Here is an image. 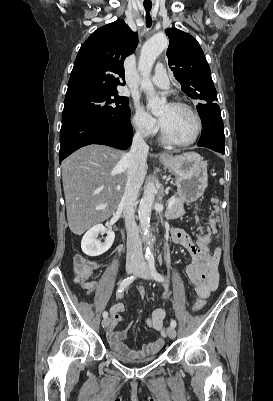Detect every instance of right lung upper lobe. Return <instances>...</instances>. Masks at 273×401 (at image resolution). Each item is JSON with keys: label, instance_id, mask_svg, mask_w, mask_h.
I'll return each mask as SVG.
<instances>
[{"label": "right lung upper lobe", "instance_id": "right-lung-upper-lobe-1", "mask_svg": "<svg viewBox=\"0 0 273 401\" xmlns=\"http://www.w3.org/2000/svg\"><path fill=\"white\" fill-rule=\"evenodd\" d=\"M137 44L138 35L122 20L97 29L79 49L66 95L117 91L125 83L123 62Z\"/></svg>", "mask_w": 273, "mask_h": 401}]
</instances>
